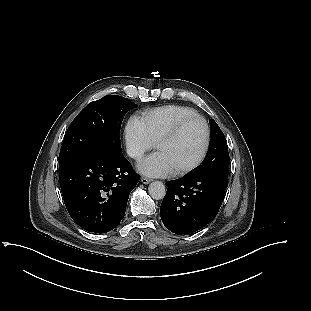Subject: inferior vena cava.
Wrapping results in <instances>:
<instances>
[{
	"instance_id": "obj_1",
	"label": "inferior vena cava",
	"mask_w": 311,
	"mask_h": 311,
	"mask_svg": "<svg viewBox=\"0 0 311 311\" xmlns=\"http://www.w3.org/2000/svg\"><path fill=\"white\" fill-rule=\"evenodd\" d=\"M131 156L135 157V156H137V153H133V154H131Z\"/></svg>"
}]
</instances>
